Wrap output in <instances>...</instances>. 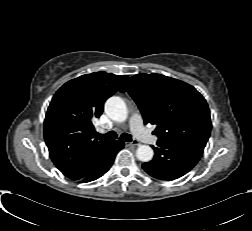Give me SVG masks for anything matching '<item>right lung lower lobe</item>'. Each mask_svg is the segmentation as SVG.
I'll use <instances>...</instances> for the list:
<instances>
[{
  "label": "right lung lower lobe",
  "mask_w": 252,
  "mask_h": 231,
  "mask_svg": "<svg viewBox=\"0 0 252 231\" xmlns=\"http://www.w3.org/2000/svg\"><path fill=\"white\" fill-rule=\"evenodd\" d=\"M123 147L124 143L121 140L113 141L107 151L95 158L90 167V171L86 176L80 179V181L90 182L104 175V173H106L112 166L117 152Z\"/></svg>",
  "instance_id": "right-lung-lower-lobe-1"
}]
</instances>
